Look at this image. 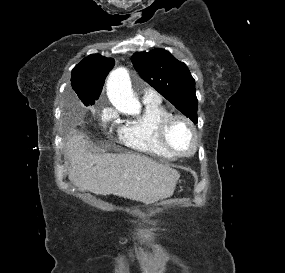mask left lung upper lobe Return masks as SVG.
<instances>
[{
  "mask_svg": "<svg viewBox=\"0 0 285 273\" xmlns=\"http://www.w3.org/2000/svg\"><path fill=\"white\" fill-rule=\"evenodd\" d=\"M132 63L146 82L197 123L195 80L185 64L163 49L138 52L132 56Z\"/></svg>",
  "mask_w": 285,
  "mask_h": 273,
  "instance_id": "left-lung-upper-lobe-1",
  "label": "left lung upper lobe"
}]
</instances>
